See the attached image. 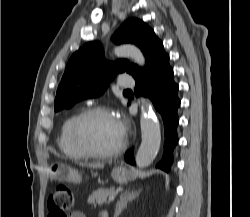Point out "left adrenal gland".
<instances>
[{"label":"left adrenal gland","mask_w":250,"mask_h":217,"mask_svg":"<svg viewBox=\"0 0 250 217\" xmlns=\"http://www.w3.org/2000/svg\"><path fill=\"white\" fill-rule=\"evenodd\" d=\"M139 192L126 190L125 192L121 193L120 200L116 204L115 214L114 217H118L123 209L127 207L128 202L134 200L136 197L139 196Z\"/></svg>","instance_id":"1"}]
</instances>
